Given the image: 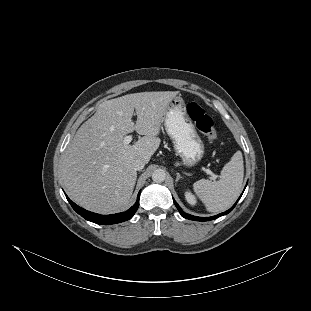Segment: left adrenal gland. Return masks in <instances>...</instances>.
I'll return each mask as SVG.
<instances>
[{
  "mask_svg": "<svg viewBox=\"0 0 311 311\" xmlns=\"http://www.w3.org/2000/svg\"><path fill=\"white\" fill-rule=\"evenodd\" d=\"M176 175H177V177H176L175 182H178V180H179L180 178H182V177H181L180 173H176Z\"/></svg>",
  "mask_w": 311,
  "mask_h": 311,
  "instance_id": "left-adrenal-gland-1",
  "label": "left adrenal gland"
}]
</instances>
